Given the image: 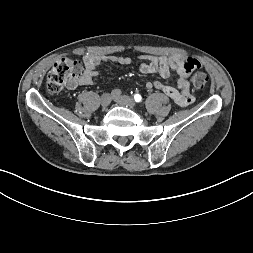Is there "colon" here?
<instances>
[{"mask_svg": "<svg viewBox=\"0 0 253 253\" xmlns=\"http://www.w3.org/2000/svg\"><path fill=\"white\" fill-rule=\"evenodd\" d=\"M189 65L193 68L191 83L196 89H204L209 77L202 71L197 60L191 59ZM83 73V65L76 59L62 58L58 60L47 77L46 88L51 94H57L71 85Z\"/></svg>", "mask_w": 253, "mask_h": 253, "instance_id": "colon-1", "label": "colon"}]
</instances>
